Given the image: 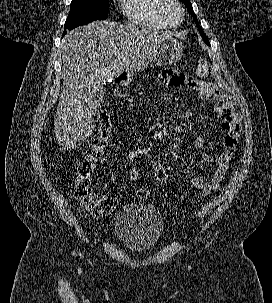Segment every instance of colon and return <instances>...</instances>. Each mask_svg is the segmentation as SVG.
<instances>
[{"label": "colon", "instance_id": "1", "mask_svg": "<svg viewBox=\"0 0 272 303\" xmlns=\"http://www.w3.org/2000/svg\"><path fill=\"white\" fill-rule=\"evenodd\" d=\"M208 73V63L202 59L198 63L197 74L205 77ZM111 133V125L107 115L101 114L99 117V127L96 136L83 156L79 159L74 170L75 198L84 208L85 214L90 218H101L111 214L117 206V199L110 195L97 196L93 192L91 176L95 171L98 160L102 157L104 149L108 143ZM147 162L154 174L155 180L159 184L167 181L168 173L165 166L156 157H147ZM235 172L230 176L226 188L212 200L198 208L193 217H202L213 208L221 204L227 197L230 188L234 185ZM151 190L147 187H140L137 195L141 199L150 196Z\"/></svg>", "mask_w": 272, "mask_h": 303}]
</instances>
